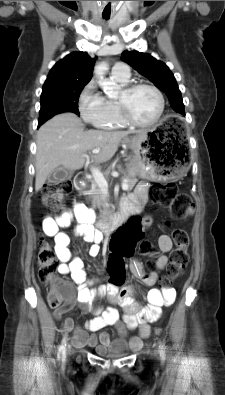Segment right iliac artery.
Wrapping results in <instances>:
<instances>
[{"instance_id":"obj_1","label":"right iliac artery","mask_w":225,"mask_h":395,"mask_svg":"<svg viewBox=\"0 0 225 395\" xmlns=\"http://www.w3.org/2000/svg\"><path fill=\"white\" fill-rule=\"evenodd\" d=\"M66 341H67V334L64 335L61 345H60V348H59V350L63 356L65 355V351H66Z\"/></svg>"}]
</instances>
